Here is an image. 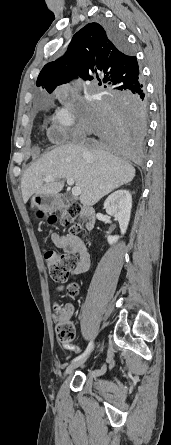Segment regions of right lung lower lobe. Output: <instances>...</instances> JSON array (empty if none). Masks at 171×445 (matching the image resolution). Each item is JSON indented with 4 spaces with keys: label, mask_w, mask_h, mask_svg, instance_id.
Here are the masks:
<instances>
[{
    "label": "right lung lower lobe",
    "mask_w": 171,
    "mask_h": 445,
    "mask_svg": "<svg viewBox=\"0 0 171 445\" xmlns=\"http://www.w3.org/2000/svg\"><path fill=\"white\" fill-rule=\"evenodd\" d=\"M103 26L112 42L127 49L124 35L111 22ZM83 131L94 145L120 158L139 163L143 156L147 124V99L143 80L127 91L110 92L89 105L83 115Z\"/></svg>",
    "instance_id": "1"
}]
</instances>
